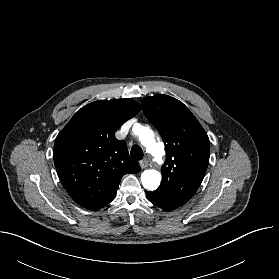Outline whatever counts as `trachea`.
I'll use <instances>...</instances> for the list:
<instances>
[{"mask_svg":"<svg viewBox=\"0 0 279 279\" xmlns=\"http://www.w3.org/2000/svg\"><path fill=\"white\" fill-rule=\"evenodd\" d=\"M130 154L135 160H141L143 158V150L137 145L132 147Z\"/></svg>","mask_w":279,"mask_h":279,"instance_id":"trachea-1","label":"trachea"}]
</instances>
